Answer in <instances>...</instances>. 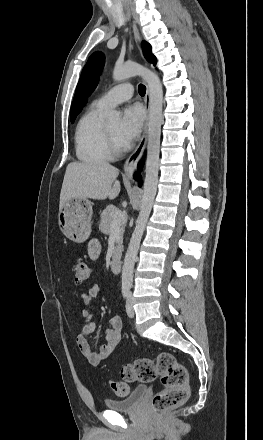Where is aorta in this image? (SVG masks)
<instances>
[{"instance_id": "1", "label": "aorta", "mask_w": 263, "mask_h": 440, "mask_svg": "<svg viewBox=\"0 0 263 440\" xmlns=\"http://www.w3.org/2000/svg\"><path fill=\"white\" fill-rule=\"evenodd\" d=\"M133 76H141L147 83L150 104L143 196L140 213L136 221V226L126 252L122 268V286L128 287L132 285L136 256L157 192L163 107L162 84L159 77L154 72L137 63L115 65L113 70V79L115 81H123ZM104 116L108 122H116L120 118V115L117 111H107Z\"/></svg>"}]
</instances>
